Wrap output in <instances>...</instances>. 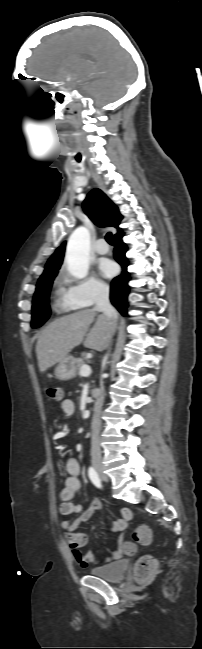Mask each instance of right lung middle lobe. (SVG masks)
I'll list each match as a JSON object with an SVG mask.
<instances>
[{
	"label": "right lung middle lobe",
	"instance_id": "right-lung-middle-lobe-1",
	"mask_svg": "<svg viewBox=\"0 0 202 649\" xmlns=\"http://www.w3.org/2000/svg\"><path fill=\"white\" fill-rule=\"evenodd\" d=\"M57 272L39 278L33 297L31 327L42 326L50 317L49 294Z\"/></svg>",
	"mask_w": 202,
	"mask_h": 649
}]
</instances>
